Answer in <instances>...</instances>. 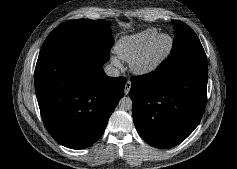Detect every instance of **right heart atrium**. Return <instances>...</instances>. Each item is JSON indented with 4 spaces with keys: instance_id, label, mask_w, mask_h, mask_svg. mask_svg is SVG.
<instances>
[{
    "instance_id": "d8ad5b80",
    "label": "right heart atrium",
    "mask_w": 237,
    "mask_h": 169,
    "mask_svg": "<svg viewBox=\"0 0 237 169\" xmlns=\"http://www.w3.org/2000/svg\"><path fill=\"white\" fill-rule=\"evenodd\" d=\"M111 63L116 68H120L122 66L121 59L118 56H111Z\"/></svg>"
}]
</instances>
